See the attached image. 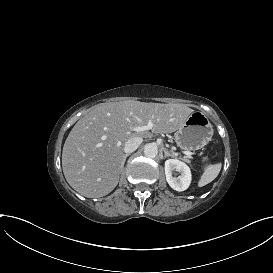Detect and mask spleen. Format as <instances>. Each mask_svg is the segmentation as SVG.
I'll return each instance as SVG.
<instances>
[{
    "label": "spleen",
    "instance_id": "3e777b00",
    "mask_svg": "<svg viewBox=\"0 0 273 273\" xmlns=\"http://www.w3.org/2000/svg\"><path fill=\"white\" fill-rule=\"evenodd\" d=\"M221 170V163L215 165H209L204 171L201 179L198 183L199 187H203L208 183L212 182L219 174Z\"/></svg>",
    "mask_w": 273,
    "mask_h": 273
}]
</instances>
